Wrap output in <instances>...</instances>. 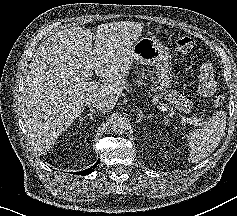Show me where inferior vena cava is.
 <instances>
[{"label": "inferior vena cava", "instance_id": "1", "mask_svg": "<svg viewBox=\"0 0 237 216\" xmlns=\"http://www.w3.org/2000/svg\"><path fill=\"white\" fill-rule=\"evenodd\" d=\"M86 105L92 109L106 113L113 109L115 102L108 99L105 93L100 92L96 97L90 98L86 102Z\"/></svg>", "mask_w": 237, "mask_h": 216}]
</instances>
